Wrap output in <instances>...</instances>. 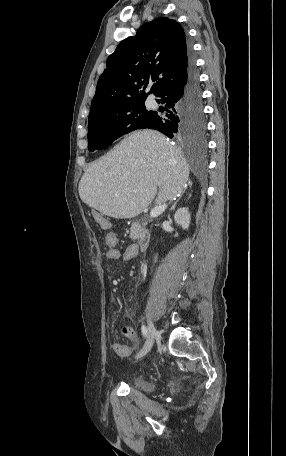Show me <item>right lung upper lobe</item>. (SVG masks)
<instances>
[{
  "label": "right lung upper lobe",
  "instance_id": "1",
  "mask_svg": "<svg viewBox=\"0 0 286 456\" xmlns=\"http://www.w3.org/2000/svg\"><path fill=\"white\" fill-rule=\"evenodd\" d=\"M191 59L183 28L175 20L159 17L145 23L134 37L123 40L107 58L99 78L88 121L117 105L158 96L187 74ZM155 82L145 93L149 83Z\"/></svg>",
  "mask_w": 286,
  "mask_h": 456
}]
</instances>
